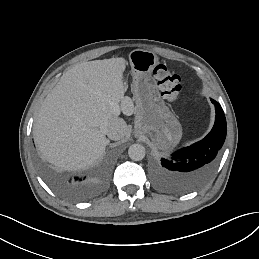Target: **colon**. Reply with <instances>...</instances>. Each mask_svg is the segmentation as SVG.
<instances>
[{
	"label": "colon",
	"mask_w": 259,
	"mask_h": 259,
	"mask_svg": "<svg viewBox=\"0 0 259 259\" xmlns=\"http://www.w3.org/2000/svg\"><path fill=\"white\" fill-rule=\"evenodd\" d=\"M153 73L162 97L169 103L178 102L181 98L179 75L173 69L164 65H158Z\"/></svg>",
	"instance_id": "1"
}]
</instances>
